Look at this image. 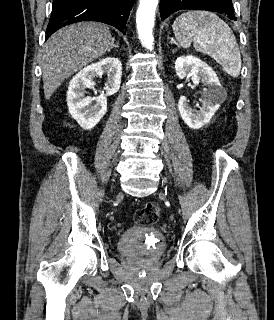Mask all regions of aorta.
<instances>
[{
	"label": "aorta",
	"mask_w": 274,
	"mask_h": 320,
	"mask_svg": "<svg viewBox=\"0 0 274 320\" xmlns=\"http://www.w3.org/2000/svg\"><path fill=\"white\" fill-rule=\"evenodd\" d=\"M159 0H140L136 13V24L142 45L149 50L154 48V16Z\"/></svg>",
	"instance_id": "obj_1"
}]
</instances>
